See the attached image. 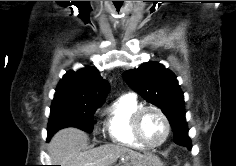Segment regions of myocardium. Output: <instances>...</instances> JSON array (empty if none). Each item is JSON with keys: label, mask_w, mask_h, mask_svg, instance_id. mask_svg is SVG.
<instances>
[{"label": "myocardium", "mask_w": 236, "mask_h": 166, "mask_svg": "<svg viewBox=\"0 0 236 166\" xmlns=\"http://www.w3.org/2000/svg\"><path fill=\"white\" fill-rule=\"evenodd\" d=\"M147 111L156 112L164 122V126H165L164 137L162 138V140L160 142H158L156 144L147 143L141 135L140 123H141V119H142L143 115ZM131 128H132V132H133L135 139L144 148H147V149H155V148L162 146L167 141V139L170 135V130H171L168 117L166 116V114L163 112V110L161 108H159L158 106H155V105L141 106L132 116Z\"/></svg>", "instance_id": "f54148a6"}]
</instances>
